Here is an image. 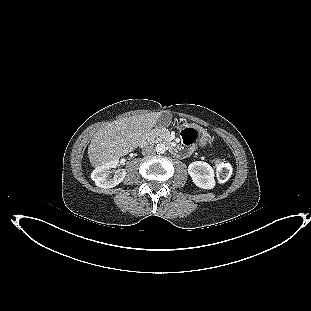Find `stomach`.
<instances>
[{"instance_id": "stomach-1", "label": "stomach", "mask_w": 311, "mask_h": 311, "mask_svg": "<svg viewBox=\"0 0 311 311\" xmlns=\"http://www.w3.org/2000/svg\"><path fill=\"white\" fill-rule=\"evenodd\" d=\"M206 144V138L202 137L201 139V146H205Z\"/></svg>"}]
</instances>
